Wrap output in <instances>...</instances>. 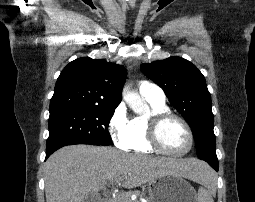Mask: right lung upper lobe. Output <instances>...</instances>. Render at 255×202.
<instances>
[{
  "mask_svg": "<svg viewBox=\"0 0 255 202\" xmlns=\"http://www.w3.org/2000/svg\"><path fill=\"white\" fill-rule=\"evenodd\" d=\"M126 79L123 66L89 57L70 62L57 79L50 114L81 107H117Z\"/></svg>",
  "mask_w": 255,
  "mask_h": 202,
  "instance_id": "1",
  "label": "right lung upper lobe"
}]
</instances>
